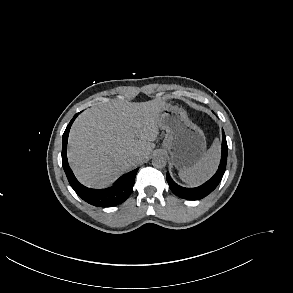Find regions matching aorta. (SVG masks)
Instances as JSON below:
<instances>
[{"instance_id":"1","label":"aorta","mask_w":293,"mask_h":293,"mask_svg":"<svg viewBox=\"0 0 293 293\" xmlns=\"http://www.w3.org/2000/svg\"><path fill=\"white\" fill-rule=\"evenodd\" d=\"M167 160L163 155H155L152 159V165L156 168H163L166 166Z\"/></svg>"}]
</instances>
